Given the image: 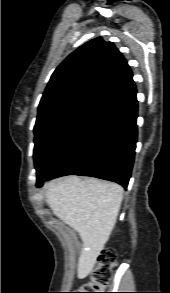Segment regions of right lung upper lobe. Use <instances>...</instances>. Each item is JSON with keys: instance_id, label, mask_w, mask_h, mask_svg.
<instances>
[{"instance_id": "1", "label": "right lung upper lobe", "mask_w": 170, "mask_h": 293, "mask_svg": "<svg viewBox=\"0 0 170 293\" xmlns=\"http://www.w3.org/2000/svg\"><path fill=\"white\" fill-rule=\"evenodd\" d=\"M135 92L122 54L113 43L98 37L76 49L54 71L41 98L36 123L74 105L108 108Z\"/></svg>"}]
</instances>
